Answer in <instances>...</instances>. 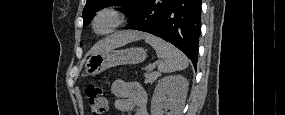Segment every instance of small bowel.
<instances>
[{"instance_id":"1","label":"small bowel","mask_w":285,"mask_h":115,"mask_svg":"<svg viewBox=\"0 0 285 115\" xmlns=\"http://www.w3.org/2000/svg\"><path fill=\"white\" fill-rule=\"evenodd\" d=\"M112 92L117 97L115 107L120 112L133 111L134 115H148V97L139 83L116 79L112 83Z\"/></svg>"}]
</instances>
